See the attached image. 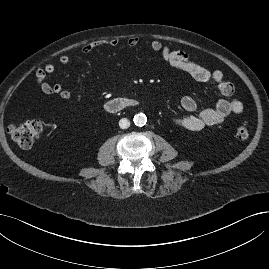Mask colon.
Instances as JSON below:
<instances>
[{"mask_svg": "<svg viewBox=\"0 0 269 269\" xmlns=\"http://www.w3.org/2000/svg\"><path fill=\"white\" fill-rule=\"evenodd\" d=\"M44 129V124L40 120H31L24 123L11 124L8 133L11 138L22 148H30L40 137ZM249 136L246 125L241 124L237 127L236 137L244 140Z\"/></svg>", "mask_w": 269, "mask_h": 269, "instance_id": "obj_1", "label": "colon"}]
</instances>
